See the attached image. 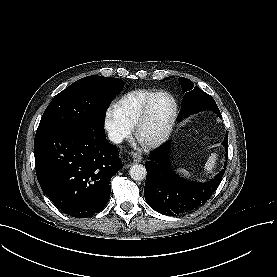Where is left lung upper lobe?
I'll use <instances>...</instances> for the list:
<instances>
[{
    "label": "left lung upper lobe",
    "instance_id": "left-lung-upper-lobe-1",
    "mask_svg": "<svg viewBox=\"0 0 277 277\" xmlns=\"http://www.w3.org/2000/svg\"><path fill=\"white\" fill-rule=\"evenodd\" d=\"M182 90L185 92L182 100V106L178 115V120L190 116L199 111L212 110L219 117L221 116L218 106L211 95L202 91L195 86L191 80L180 77L179 78Z\"/></svg>",
    "mask_w": 277,
    "mask_h": 277
}]
</instances>
